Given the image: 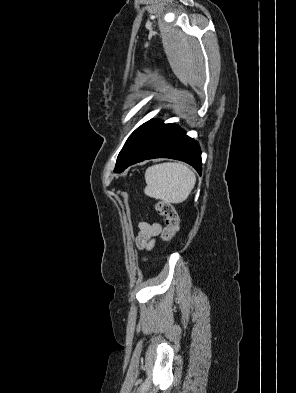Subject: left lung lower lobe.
Wrapping results in <instances>:
<instances>
[{
  "instance_id": "1",
  "label": "left lung lower lobe",
  "mask_w": 296,
  "mask_h": 393,
  "mask_svg": "<svg viewBox=\"0 0 296 393\" xmlns=\"http://www.w3.org/2000/svg\"><path fill=\"white\" fill-rule=\"evenodd\" d=\"M153 158L181 160L192 165L201 174L200 147L176 124L152 121L139 138L121 172L132 164Z\"/></svg>"
}]
</instances>
